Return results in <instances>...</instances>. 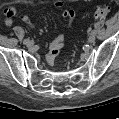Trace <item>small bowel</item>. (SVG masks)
Returning <instances> with one entry per match:
<instances>
[{"mask_svg":"<svg viewBox=\"0 0 119 119\" xmlns=\"http://www.w3.org/2000/svg\"><path fill=\"white\" fill-rule=\"evenodd\" d=\"M54 6L57 9H62L64 7L63 2L57 1L54 3ZM16 15V9L13 7H10L5 10V24L7 26H11L13 24V17ZM62 15L64 18L67 19V27L70 28L73 24V20L75 17V12L72 9H63ZM21 20L31 27L34 26L31 19L27 15H22ZM64 39L65 36L63 34L58 35L55 39H53L49 43V54L47 56V62L49 65H52L54 63L56 55L60 52L61 48L64 46Z\"/></svg>","mask_w":119,"mask_h":119,"instance_id":"obj_1","label":"small bowel"}]
</instances>
